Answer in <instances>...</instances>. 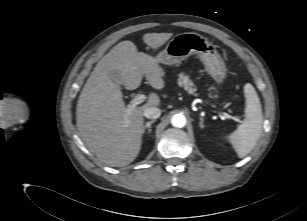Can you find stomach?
Listing matches in <instances>:
<instances>
[{"label":"stomach","mask_w":307,"mask_h":221,"mask_svg":"<svg viewBox=\"0 0 307 221\" xmlns=\"http://www.w3.org/2000/svg\"><path fill=\"white\" fill-rule=\"evenodd\" d=\"M192 54L199 57L206 72L217 84L223 83L227 73L224 61L213 44L200 34L187 32L175 35L155 59L159 64L175 65ZM213 89L215 90V97H218V90L215 87Z\"/></svg>","instance_id":"1"}]
</instances>
